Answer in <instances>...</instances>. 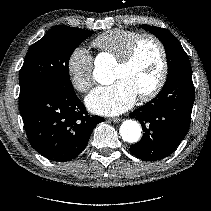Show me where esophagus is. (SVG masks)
Here are the masks:
<instances>
[{
  "mask_svg": "<svg viewBox=\"0 0 211 211\" xmlns=\"http://www.w3.org/2000/svg\"><path fill=\"white\" fill-rule=\"evenodd\" d=\"M121 118L120 117H116V118H109V121L110 122H113V123H119L121 122Z\"/></svg>",
  "mask_w": 211,
  "mask_h": 211,
  "instance_id": "34e87169",
  "label": "esophagus"
}]
</instances>
